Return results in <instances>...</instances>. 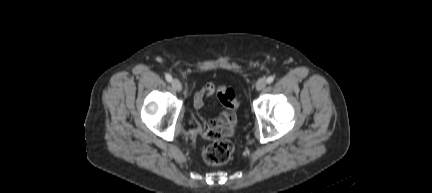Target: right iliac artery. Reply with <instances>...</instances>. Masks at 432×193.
Returning <instances> with one entry per match:
<instances>
[{"instance_id":"obj_1","label":"right iliac artery","mask_w":432,"mask_h":193,"mask_svg":"<svg viewBox=\"0 0 432 193\" xmlns=\"http://www.w3.org/2000/svg\"><path fill=\"white\" fill-rule=\"evenodd\" d=\"M165 78L168 82L172 81V76L170 74H166Z\"/></svg>"}]
</instances>
